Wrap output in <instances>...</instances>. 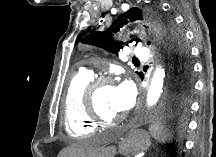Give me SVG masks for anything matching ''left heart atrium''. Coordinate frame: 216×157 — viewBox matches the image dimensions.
<instances>
[{"label":"left heart atrium","instance_id":"left-heart-atrium-1","mask_svg":"<svg viewBox=\"0 0 216 157\" xmlns=\"http://www.w3.org/2000/svg\"><path fill=\"white\" fill-rule=\"evenodd\" d=\"M135 100V92L133 86L127 82L122 81L113 87V103L118 111H126L130 109Z\"/></svg>","mask_w":216,"mask_h":157}]
</instances>
